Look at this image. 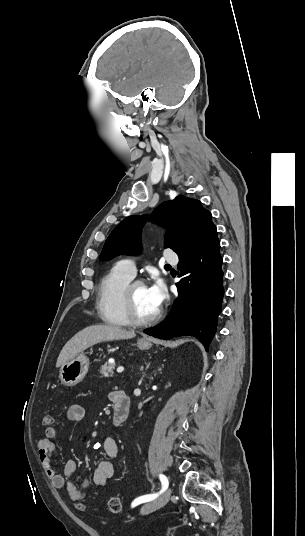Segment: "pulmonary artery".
<instances>
[{"mask_svg": "<svg viewBox=\"0 0 305 536\" xmlns=\"http://www.w3.org/2000/svg\"><path fill=\"white\" fill-rule=\"evenodd\" d=\"M167 253H170V250H167ZM166 260H168V262H170L172 264H175V263L178 262L179 257H178L177 254L172 253V254L168 255V257H166ZM117 267H118L119 270H121L124 274H126L130 278H134L135 275H136V266H135L134 262H132L130 260L120 261L118 263Z\"/></svg>", "mask_w": 305, "mask_h": 536, "instance_id": "pulmonary-artery-1", "label": "pulmonary artery"}]
</instances>
